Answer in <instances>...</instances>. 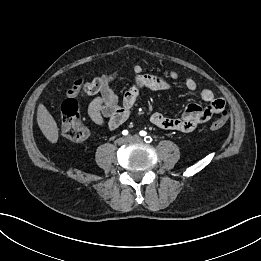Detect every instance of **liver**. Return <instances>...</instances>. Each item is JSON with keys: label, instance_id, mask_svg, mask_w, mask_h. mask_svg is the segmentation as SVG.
<instances>
[{"label": "liver", "instance_id": "liver-1", "mask_svg": "<svg viewBox=\"0 0 261 261\" xmlns=\"http://www.w3.org/2000/svg\"><path fill=\"white\" fill-rule=\"evenodd\" d=\"M37 123L46 139L51 143H56L59 136L57 123L42 103L38 105Z\"/></svg>", "mask_w": 261, "mask_h": 261}]
</instances>
